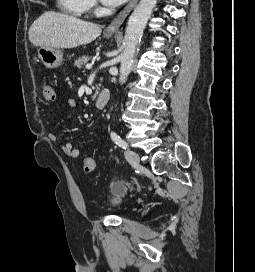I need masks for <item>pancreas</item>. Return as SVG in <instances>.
<instances>
[{
	"label": "pancreas",
	"mask_w": 255,
	"mask_h": 272,
	"mask_svg": "<svg viewBox=\"0 0 255 272\" xmlns=\"http://www.w3.org/2000/svg\"><path fill=\"white\" fill-rule=\"evenodd\" d=\"M91 60V57L89 55L87 56H82L80 57L78 60L75 61L74 65L75 67H77L78 69H81L83 67V65H85L87 62H89ZM97 90H99V88H96V92L93 95V98H96L98 92Z\"/></svg>",
	"instance_id": "pancreas-1"
}]
</instances>
